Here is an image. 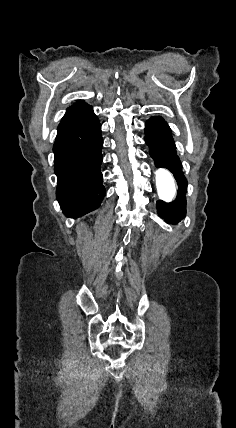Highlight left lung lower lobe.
Here are the masks:
<instances>
[{"mask_svg":"<svg viewBox=\"0 0 236 428\" xmlns=\"http://www.w3.org/2000/svg\"><path fill=\"white\" fill-rule=\"evenodd\" d=\"M145 141L150 148V155L157 168H167L177 181L179 191L171 203L157 202L160 216L170 223H177L186 214L187 180L182 172V165L176 154V146L171 129L160 116L151 117L145 124Z\"/></svg>","mask_w":236,"mask_h":428,"instance_id":"1","label":"left lung lower lobe"}]
</instances>
